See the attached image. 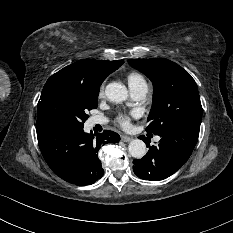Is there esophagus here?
Returning <instances> with one entry per match:
<instances>
[{
	"label": "esophagus",
	"mask_w": 233,
	"mask_h": 233,
	"mask_svg": "<svg viewBox=\"0 0 233 233\" xmlns=\"http://www.w3.org/2000/svg\"><path fill=\"white\" fill-rule=\"evenodd\" d=\"M121 140H122L123 142H130V141L132 140V137L127 136V135H122V136H121Z\"/></svg>",
	"instance_id": "esophagus-1"
}]
</instances>
